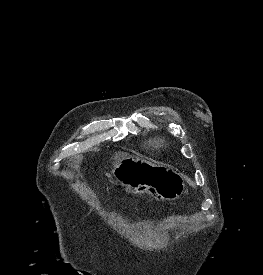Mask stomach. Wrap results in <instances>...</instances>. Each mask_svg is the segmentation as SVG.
<instances>
[{
  "instance_id": "0dacf381",
  "label": "stomach",
  "mask_w": 263,
  "mask_h": 275,
  "mask_svg": "<svg viewBox=\"0 0 263 275\" xmlns=\"http://www.w3.org/2000/svg\"><path fill=\"white\" fill-rule=\"evenodd\" d=\"M112 174L127 192L148 193L156 200H175L185 191L181 173L135 156L129 155L116 162Z\"/></svg>"
}]
</instances>
